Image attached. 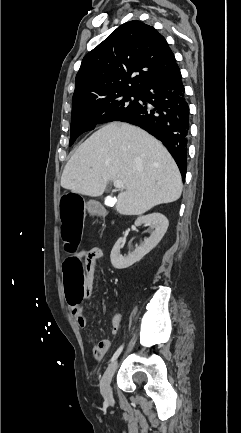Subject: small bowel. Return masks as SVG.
Wrapping results in <instances>:
<instances>
[{
  "label": "small bowel",
  "mask_w": 241,
  "mask_h": 433,
  "mask_svg": "<svg viewBox=\"0 0 241 433\" xmlns=\"http://www.w3.org/2000/svg\"><path fill=\"white\" fill-rule=\"evenodd\" d=\"M102 255H103L102 250L97 247L84 251L81 254V257L85 259V267H84L85 278H86L85 294L88 297L92 293L93 278H94L96 266L98 261L101 259ZM69 310L77 326L82 330H86L88 327V321L83 313V309L81 308V306L69 305ZM121 322H122V314L120 311H116L112 317L113 334H117L119 332L121 328ZM90 341L92 343V352H93L94 359L98 361L103 360L107 352L110 350L111 341L108 339H103L99 342H95L92 338H90Z\"/></svg>",
  "instance_id": "c3829d8e"
}]
</instances>
